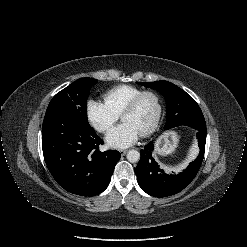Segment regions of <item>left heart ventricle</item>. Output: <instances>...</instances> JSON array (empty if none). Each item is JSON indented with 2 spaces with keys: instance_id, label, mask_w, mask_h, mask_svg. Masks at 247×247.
I'll list each match as a JSON object with an SVG mask.
<instances>
[{
  "instance_id": "left-heart-ventricle-1",
  "label": "left heart ventricle",
  "mask_w": 247,
  "mask_h": 247,
  "mask_svg": "<svg viewBox=\"0 0 247 247\" xmlns=\"http://www.w3.org/2000/svg\"><path fill=\"white\" fill-rule=\"evenodd\" d=\"M157 110L155 98L147 95L141 100L138 107L134 111L125 114L122 120L131 123L139 133H142L153 124Z\"/></svg>"
}]
</instances>
